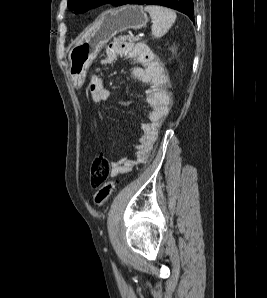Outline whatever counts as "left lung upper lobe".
I'll list each match as a JSON object with an SVG mask.
<instances>
[{
  "mask_svg": "<svg viewBox=\"0 0 267 298\" xmlns=\"http://www.w3.org/2000/svg\"><path fill=\"white\" fill-rule=\"evenodd\" d=\"M122 0H68V7L75 13H83L105 3L119 6Z\"/></svg>",
  "mask_w": 267,
  "mask_h": 298,
  "instance_id": "5c2ea615",
  "label": "left lung upper lobe"
}]
</instances>
